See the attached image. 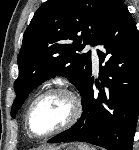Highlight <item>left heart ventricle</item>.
<instances>
[{
  "label": "left heart ventricle",
  "instance_id": "obj_1",
  "mask_svg": "<svg viewBox=\"0 0 139 150\" xmlns=\"http://www.w3.org/2000/svg\"><path fill=\"white\" fill-rule=\"evenodd\" d=\"M72 114L70 99L60 93L43 97L35 106L31 126L35 133L45 134L63 125Z\"/></svg>",
  "mask_w": 139,
  "mask_h": 150
}]
</instances>
